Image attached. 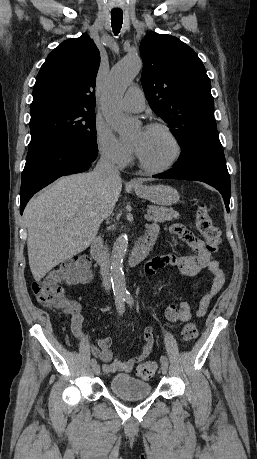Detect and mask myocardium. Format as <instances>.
Returning <instances> with one entry per match:
<instances>
[{"mask_svg": "<svg viewBox=\"0 0 257 459\" xmlns=\"http://www.w3.org/2000/svg\"><path fill=\"white\" fill-rule=\"evenodd\" d=\"M145 129H159V130H162L171 139V141L173 142V145H174V148H175V152H174L173 157L166 164H164L162 166H151V165L147 164L143 160V158L139 154L137 148L134 147L135 153H136V157L138 159V162H139L140 166L144 170H146L148 172H151V173H162V172H166V171L170 170L171 168H173L176 165V163L181 158L182 145L180 143V140L178 139L176 134L167 125H165L163 123L152 122V123H149L148 125H146Z\"/></svg>", "mask_w": 257, "mask_h": 459, "instance_id": "f54148a6", "label": "myocardium"}]
</instances>
